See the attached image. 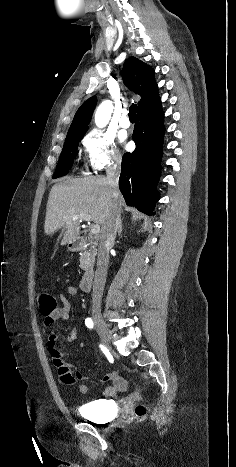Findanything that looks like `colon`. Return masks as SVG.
Returning <instances> with one entry per match:
<instances>
[{"mask_svg":"<svg viewBox=\"0 0 236 467\" xmlns=\"http://www.w3.org/2000/svg\"><path fill=\"white\" fill-rule=\"evenodd\" d=\"M37 303L39 311L44 316H49L57 309V302L54 296L47 292H40L37 295ZM147 409L144 405H137L135 408V415L142 418L146 415Z\"/></svg>","mask_w":236,"mask_h":467,"instance_id":"5ec220e1","label":"colon"}]
</instances>
